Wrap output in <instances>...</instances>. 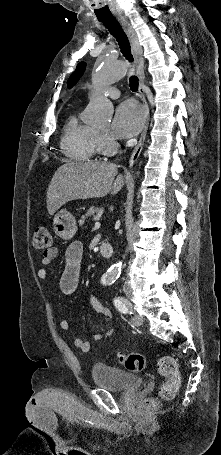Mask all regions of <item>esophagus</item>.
Instances as JSON below:
<instances>
[{"instance_id":"1","label":"esophagus","mask_w":221,"mask_h":455,"mask_svg":"<svg viewBox=\"0 0 221 455\" xmlns=\"http://www.w3.org/2000/svg\"><path fill=\"white\" fill-rule=\"evenodd\" d=\"M117 19L120 22V24L122 25L125 33L128 36V39L130 41L132 55L134 57L135 64H136V74L139 79L138 92H139L141 101L143 103L144 109H145V122H144L143 130L140 135L138 144L129 160V166L131 167L137 161V159L140 156L141 151L143 149V145L145 142L146 133H147V129H148V124H149L150 110H149V105L147 103L145 92H144L145 76H144V58L142 55V53H143L142 48L139 44L138 37H137L134 29L130 26V24L126 20V18L124 16L119 15V16H117Z\"/></svg>"}]
</instances>
